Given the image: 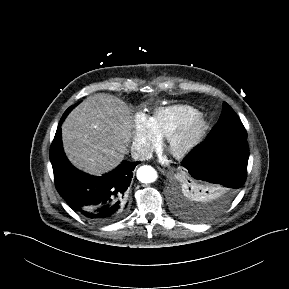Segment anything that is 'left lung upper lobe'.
<instances>
[{
  "instance_id": "1",
  "label": "left lung upper lobe",
  "mask_w": 289,
  "mask_h": 289,
  "mask_svg": "<svg viewBox=\"0 0 289 289\" xmlns=\"http://www.w3.org/2000/svg\"><path fill=\"white\" fill-rule=\"evenodd\" d=\"M247 132L233 109L223 103L219 121L206 137V142H214L226 138H246ZM185 199L178 200L175 210L180 216L193 221H206L215 216L220 210H215L213 198L205 191V187L185 185Z\"/></svg>"
}]
</instances>
